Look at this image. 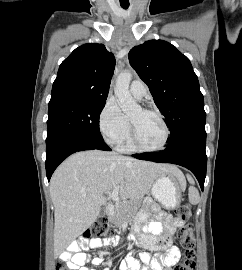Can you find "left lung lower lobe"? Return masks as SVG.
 Segmentation results:
<instances>
[{"label":"left lung lower lobe","instance_id":"1","mask_svg":"<svg viewBox=\"0 0 242 270\" xmlns=\"http://www.w3.org/2000/svg\"><path fill=\"white\" fill-rule=\"evenodd\" d=\"M205 148V129L194 130L169 142L166 149L161 152L134 154L133 157L153 162L181 165L193 172L203 190L207 167Z\"/></svg>","mask_w":242,"mask_h":270}]
</instances>
